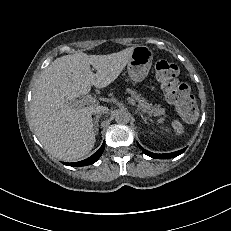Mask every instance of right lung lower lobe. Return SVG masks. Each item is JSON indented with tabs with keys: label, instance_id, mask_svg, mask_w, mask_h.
I'll return each instance as SVG.
<instances>
[{
	"label": "right lung lower lobe",
	"instance_id": "obj_1",
	"mask_svg": "<svg viewBox=\"0 0 231 231\" xmlns=\"http://www.w3.org/2000/svg\"><path fill=\"white\" fill-rule=\"evenodd\" d=\"M105 148V143L102 144V146L100 147V149L98 151H96L92 156H90L89 158L82 160L80 162H75V163H63L67 166H86V165H90L93 164L94 162H96L100 156L102 155L103 151Z\"/></svg>",
	"mask_w": 231,
	"mask_h": 231
}]
</instances>
